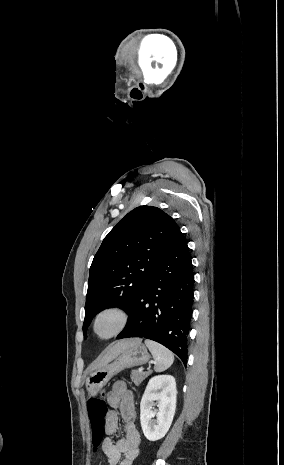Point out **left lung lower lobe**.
Returning a JSON list of instances; mask_svg holds the SVG:
<instances>
[{
	"mask_svg": "<svg viewBox=\"0 0 284 465\" xmlns=\"http://www.w3.org/2000/svg\"><path fill=\"white\" fill-rule=\"evenodd\" d=\"M193 267L180 232L175 245L139 290L117 339L143 337L173 351L186 365L192 318Z\"/></svg>",
	"mask_w": 284,
	"mask_h": 465,
	"instance_id": "0a47b994",
	"label": "left lung lower lobe"
}]
</instances>
